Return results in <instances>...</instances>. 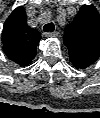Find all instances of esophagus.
<instances>
[{"label": "esophagus", "mask_w": 100, "mask_h": 118, "mask_svg": "<svg viewBox=\"0 0 100 118\" xmlns=\"http://www.w3.org/2000/svg\"><path fill=\"white\" fill-rule=\"evenodd\" d=\"M43 35L45 37H56L58 35V32H45Z\"/></svg>", "instance_id": "obj_1"}]
</instances>
